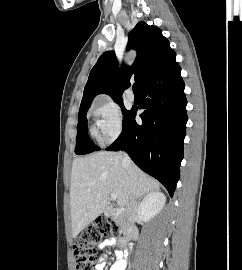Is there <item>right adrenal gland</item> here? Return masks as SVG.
<instances>
[{"label": "right adrenal gland", "mask_w": 242, "mask_h": 270, "mask_svg": "<svg viewBox=\"0 0 242 270\" xmlns=\"http://www.w3.org/2000/svg\"><path fill=\"white\" fill-rule=\"evenodd\" d=\"M145 195H142L140 198H139V202H140V200L144 197Z\"/></svg>", "instance_id": "2a0ac1e0"}]
</instances>
